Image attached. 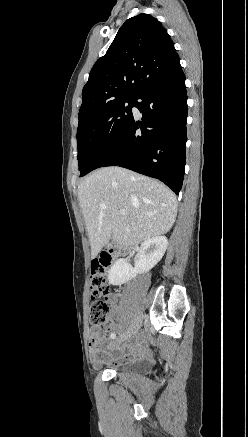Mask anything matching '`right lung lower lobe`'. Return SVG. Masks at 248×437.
I'll return each mask as SVG.
<instances>
[{
    "label": "right lung lower lobe",
    "mask_w": 248,
    "mask_h": 437,
    "mask_svg": "<svg viewBox=\"0 0 248 437\" xmlns=\"http://www.w3.org/2000/svg\"><path fill=\"white\" fill-rule=\"evenodd\" d=\"M134 106L142 113L141 121L133 117L91 171L124 167L161 180L178 195L187 140V93L178 55L139 91Z\"/></svg>",
    "instance_id": "1"
}]
</instances>
